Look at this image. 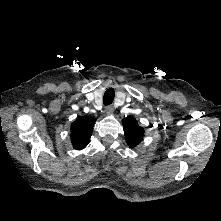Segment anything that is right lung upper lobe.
Returning a JSON list of instances; mask_svg holds the SVG:
<instances>
[{
  "label": "right lung upper lobe",
  "instance_id": "1",
  "mask_svg": "<svg viewBox=\"0 0 221 221\" xmlns=\"http://www.w3.org/2000/svg\"><path fill=\"white\" fill-rule=\"evenodd\" d=\"M94 121L89 117H78L72 123L70 136L74 149L81 150L89 144Z\"/></svg>",
  "mask_w": 221,
  "mask_h": 221
}]
</instances>
